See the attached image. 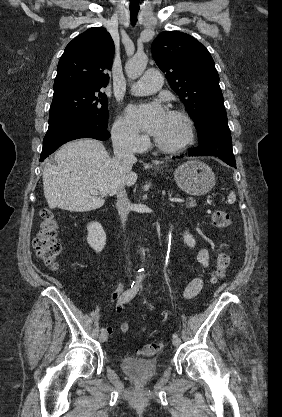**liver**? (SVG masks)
<instances>
[{
	"label": "liver",
	"mask_w": 282,
	"mask_h": 417,
	"mask_svg": "<svg viewBox=\"0 0 282 417\" xmlns=\"http://www.w3.org/2000/svg\"><path fill=\"white\" fill-rule=\"evenodd\" d=\"M56 164L46 162L43 186L49 209L95 211L105 202L104 196L116 194L120 186H131L136 172H125L110 158L105 146L94 138H80L63 144L55 152ZM94 190L101 192L96 196Z\"/></svg>",
	"instance_id": "obj_1"
}]
</instances>
